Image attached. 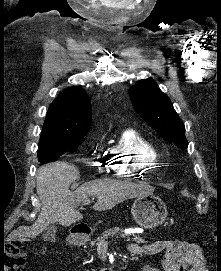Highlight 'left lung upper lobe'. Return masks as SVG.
<instances>
[{"instance_id": "left-lung-upper-lobe-1", "label": "left lung upper lobe", "mask_w": 221, "mask_h": 271, "mask_svg": "<svg viewBox=\"0 0 221 271\" xmlns=\"http://www.w3.org/2000/svg\"><path fill=\"white\" fill-rule=\"evenodd\" d=\"M130 96L135 110L159 135L182 149L187 148L185 126L153 79L137 81L130 88Z\"/></svg>"}]
</instances>
